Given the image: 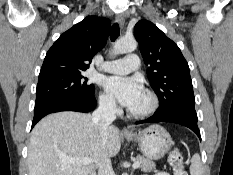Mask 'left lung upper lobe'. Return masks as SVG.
I'll return each mask as SVG.
<instances>
[{
  "label": "left lung upper lobe",
  "mask_w": 233,
  "mask_h": 175,
  "mask_svg": "<svg viewBox=\"0 0 233 175\" xmlns=\"http://www.w3.org/2000/svg\"><path fill=\"white\" fill-rule=\"evenodd\" d=\"M151 87L159 98L155 113L194 107L195 98L189 66L179 47L156 25L140 20L134 28Z\"/></svg>",
  "instance_id": "obj_1"
}]
</instances>
